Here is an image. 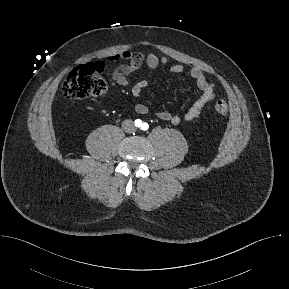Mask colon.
I'll use <instances>...</instances> for the list:
<instances>
[{
	"mask_svg": "<svg viewBox=\"0 0 289 289\" xmlns=\"http://www.w3.org/2000/svg\"><path fill=\"white\" fill-rule=\"evenodd\" d=\"M103 71V63H86L74 68L63 82L64 95L76 100L101 95L106 90V83L102 76ZM214 109L220 115L228 113V105L224 100H218Z\"/></svg>",
	"mask_w": 289,
	"mask_h": 289,
	"instance_id": "1",
	"label": "colon"
}]
</instances>
